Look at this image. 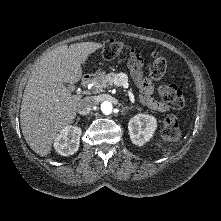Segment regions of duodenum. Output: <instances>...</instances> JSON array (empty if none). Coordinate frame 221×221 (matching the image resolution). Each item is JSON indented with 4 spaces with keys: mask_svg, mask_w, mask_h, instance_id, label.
Segmentation results:
<instances>
[{
    "mask_svg": "<svg viewBox=\"0 0 221 221\" xmlns=\"http://www.w3.org/2000/svg\"><path fill=\"white\" fill-rule=\"evenodd\" d=\"M97 77L98 74L96 73H89L84 75L81 81L82 88L86 89Z\"/></svg>",
    "mask_w": 221,
    "mask_h": 221,
    "instance_id": "1",
    "label": "duodenum"
}]
</instances>
